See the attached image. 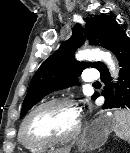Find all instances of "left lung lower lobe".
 <instances>
[{"label": "left lung lower lobe", "instance_id": "0a47b994", "mask_svg": "<svg viewBox=\"0 0 130 153\" xmlns=\"http://www.w3.org/2000/svg\"><path fill=\"white\" fill-rule=\"evenodd\" d=\"M107 49L116 55L121 68L119 82L116 84L111 83V77L105 64L99 69L101 80L104 83L102 94L106 96L103 108L130 109V42L124 30L118 32L110 40Z\"/></svg>", "mask_w": 130, "mask_h": 153}]
</instances>
